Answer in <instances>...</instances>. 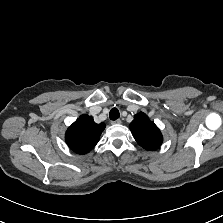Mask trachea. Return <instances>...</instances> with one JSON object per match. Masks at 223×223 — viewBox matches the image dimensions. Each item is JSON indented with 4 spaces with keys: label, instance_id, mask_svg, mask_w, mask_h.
Here are the masks:
<instances>
[{
    "label": "trachea",
    "instance_id": "3493384b",
    "mask_svg": "<svg viewBox=\"0 0 223 223\" xmlns=\"http://www.w3.org/2000/svg\"><path fill=\"white\" fill-rule=\"evenodd\" d=\"M109 117L111 120H116L120 117V113L117 108H112L109 113Z\"/></svg>",
    "mask_w": 223,
    "mask_h": 223
}]
</instances>
